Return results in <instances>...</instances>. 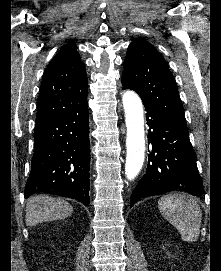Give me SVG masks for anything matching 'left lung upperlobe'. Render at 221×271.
Instances as JSON below:
<instances>
[{"instance_id":"5c2ea615","label":"left lung upper lobe","mask_w":221,"mask_h":271,"mask_svg":"<svg viewBox=\"0 0 221 271\" xmlns=\"http://www.w3.org/2000/svg\"><path fill=\"white\" fill-rule=\"evenodd\" d=\"M122 84L124 89L136 91L144 106L187 127L175 79L167 62L151 43L142 39L130 43Z\"/></svg>"}]
</instances>
